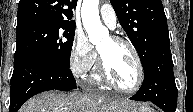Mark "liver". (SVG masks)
<instances>
[{
    "instance_id": "obj_1",
    "label": "liver",
    "mask_w": 193,
    "mask_h": 112,
    "mask_svg": "<svg viewBox=\"0 0 193 112\" xmlns=\"http://www.w3.org/2000/svg\"><path fill=\"white\" fill-rule=\"evenodd\" d=\"M136 103L85 93L47 91L29 99L19 112H119Z\"/></svg>"
}]
</instances>
